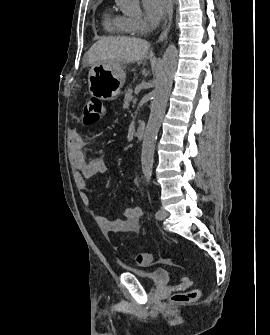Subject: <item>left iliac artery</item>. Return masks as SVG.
<instances>
[{"instance_id": "obj_1", "label": "left iliac artery", "mask_w": 270, "mask_h": 335, "mask_svg": "<svg viewBox=\"0 0 270 335\" xmlns=\"http://www.w3.org/2000/svg\"><path fill=\"white\" fill-rule=\"evenodd\" d=\"M159 215H160V211H157L156 214H155L156 218H157Z\"/></svg>"}]
</instances>
